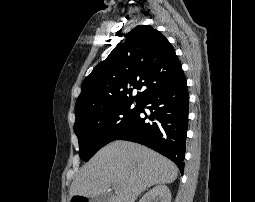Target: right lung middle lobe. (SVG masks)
Here are the masks:
<instances>
[{
	"mask_svg": "<svg viewBox=\"0 0 255 202\" xmlns=\"http://www.w3.org/2000/svg\"><path fill=\"white\" fill-rule=\"evenodd\" d=\"M112 104L77 119L74 132L79 141L80 158L88 161L104 145L116 140L132 124L140 110V103Z\"/></svg>",
	"mask_w": 255,
	"mask_h": 202,
	"instance_id": "dd1d6c3e",
	"label": "right lung middle lobe"
}]
</instances>
